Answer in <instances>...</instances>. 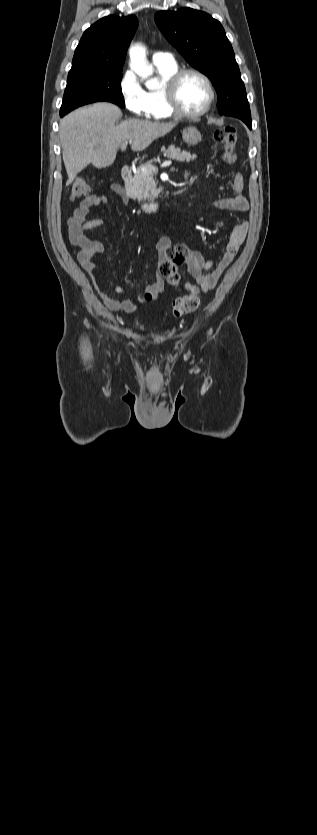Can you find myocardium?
<instances>
[{"instance_id":"1","label":"myocardium","mask_w":317,"mask_h":835,"mask_svg":"<svg viewBox=\"0 0 317 835\" xmlns=\"http://www.w3.org/2000/svg\"><path fill=\"white\" fill-rule=\"evenodd\" d=\"M196 75L200 77L206 84L209 96L205 106L196 113H188L185 112L182 107L180 106L179 99H178V91L183 78L187 75ZM165 93L167 97L168 104L170 109L172 110L174 116L183 119H196L205 115L212 107L214 100H215V88L212 83L210 77L205 74L203 71L196 69V68H183L179 69L175 72L166 82L165 85Z\"/></svg>"}]
</instances>
